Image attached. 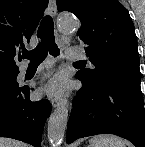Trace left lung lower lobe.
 <instances>
[{"mask_svg": "<svg viewBox=\"0 0 145 147\" xmlns=\"http://www.w3.org/2000/svg\"><path fill=\"white\" fill-rule=\"evenodd\" d=\"M82 82L73 99L67 126V143L78 138L114 134L145 147V109L140 88L141 74L120 71L96 83Z\"/></svg>", "mask_w": 145, "mask_h": 147, "instance_id": "obj_1", "label": "left lung lower lobe"}]
</instances>
